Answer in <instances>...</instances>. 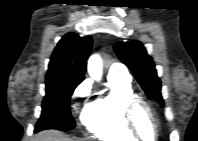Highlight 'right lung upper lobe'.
<instances>
[{
    "instance_id": "obj_1",
    "label": "right lung upper lobe",
    "mask_w": 198,
    "mask_h": 141,
    "mask_svg": "<svg viewBox=\"0 0 198 141\" xmlns=\"http://www.w3.org/2000/svg\"><path fill=\"white\" fill-rule=\"evenodd\" d=\"M92 38L67 33L58 42L49 63L46 80H83Z\"/></svg>"
}]
</instances>
